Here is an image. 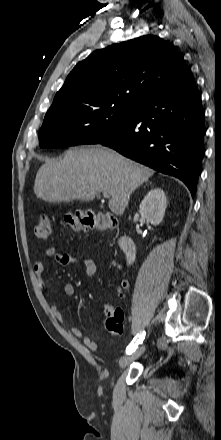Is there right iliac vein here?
Instances as JSON below:
<instances>
[{"label":"right iliac vein","instance_id":"1","mask_svg":"<svg viewBox=\"0 0 221 440\" xmlns=\"http://www.w3.org/2000/svg\"><path fill=\"white\" fill-rule=\"evenodd\" d=\"M145 351V346L142 345L140 347H138L133 353H131L130 355L124 356L120 359L119 361V365L121 367H125L128 364H130L131 362H133L134 360H136L137 358H139Z\"/></svg>","mask_w":221,"mask_h":440}]
</instances>
